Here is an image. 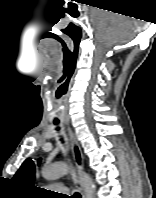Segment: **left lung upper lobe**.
I'll return each mask as SVG.
<instances>
[{
  "mask_svg": "<svg viewBox=\"0 0 156 198\" xmlns=\"http://www.w3.org/2000/svg\"><path fill=\"white\" fill-rule=\"evenodd\" d=\"M40 160L41 159H39L38 163H40ZM35 172L36 164L31 158H28L23 162L19 170L16 172L13 180L22 185L32 186L35 180Z\"/></svg>",
  "mask_w": 156,
  "mask_h": 198,
  "instance_id": "obj_1",
  "label": "left lung upper lobe"
}]
</instances>
